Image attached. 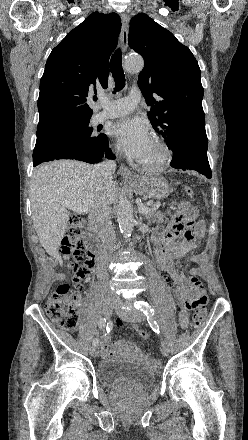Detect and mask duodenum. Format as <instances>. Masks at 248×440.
Wrapping results in <instances>:
<instances>
[{
  "label": "duodenum",
  "mask_w": 248,
  "mask_h": 440,
  "mask_svg": "<svg viewBox=\"0 0 248 440\" xmlns=\"http://www.w3.org/2000/svg\"><path fill=\"white\" fill-rule=\"evenodd\" d=\"M86 245L87 247L94 253L96 258H98L100 254V248L97 238L94 236V234L87 229L86 235H85Z\"/></svg>",
  "instance_id": "obj_1"
}]
</instances>
